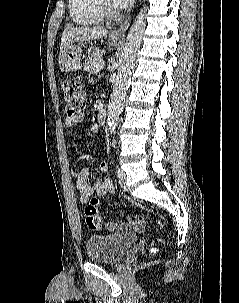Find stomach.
Returning <instances> with one entry per match:
<instances>
[{
    "label": "stomach",
    "mask_w": 239,
    "mask_h": 303,
    "mask_svg": "<svg viewBox=\"0 0 239 303\" xmlns=\"http://www.w3.org/2000/svg\"><path fill=\"white\" fill-rule=\"evenodd\" d=\"M119 41L109 39L110 45H116ZM82 49L81 45L72 44L69 48L61 51L60 63L68 71H76L81 68Z\"/></svg>",
    "instance_id": "stomach-1"
}]
</instances>
